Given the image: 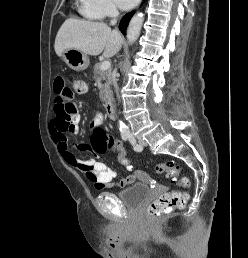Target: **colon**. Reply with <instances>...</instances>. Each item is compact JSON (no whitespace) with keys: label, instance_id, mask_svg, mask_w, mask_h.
<instances>
[{"label":"colon","instance_id":"obj_1","mask_svg":"<svg viewBox=\"0 0 248 258\" xmlns=\"http://www.w3.org/2000/svg\"><path fill=\"white\" fill-rule=\"evenodd\" d=\"M72 92L76 95H84L87 92L86 82L79 78L73 79ZM75 111L74 105L62 103L61 109L58 110L52 122L59 129L69 131L72 127L71 116ZM93 140L94 148L97 153H103L110 148L116 149L118 151L119 161L125 165V170H130V160L125 153L127 145H121V141H113L103 129L95 130ZM156 170L171 179V181L178 182L183 187H188L190 184L188 177L179 179L180 168L173 161L158 164ZM187 199V192L175 191L172 193H165L148 205V214L151 218H158L174 210L182 209L185 206Z\"/></svg>","mask_w":248,"mask_h":258}]
</instances>
